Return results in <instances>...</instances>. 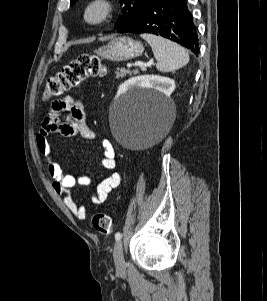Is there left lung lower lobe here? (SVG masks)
Returning <instances> with one entry per match:
<instances>
[{
    "mask_svg": "<svg viewBox=\"0 0 267 301\" xmlns=\"http://www.w3.org/2000/svg\"><path fill=\"white\" fill-rule=\"evenodd\" d=\"M119 33H149L163 36L199 54V43L187 0H150Z\"/></svg>",
    "mask_w": 267,
    "mask_h": 301,
    "instance_id": "left-lung-lower-lobe-1",
    "label": "left lung lower lobe"
}]
</instances>
